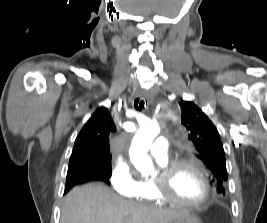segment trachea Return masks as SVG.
I'll use <instances>...</instances> for the list:
<instances>
[{
	"mask_svg": "<svg viewBox=\"0 0 267 223\" xmlns=\"http://www.w3.org/2000/svg\"><path fill=\"white\" fill-rule=\"evenodd\" d=\"M144 105H145V101L143 99H141V100L139 98L135 99L134 107L136 109H142V108H144Z\"/></svg>",
	"mask_w": 267,
	"mask_h": 223,
	"instance_id": "trachea-1",
	"label": "trachea"
}]
</instances>
